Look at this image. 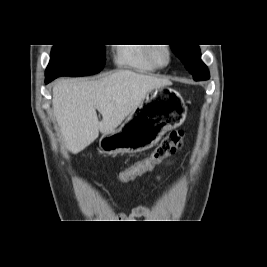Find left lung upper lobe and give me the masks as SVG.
<instances>
[{
  "label": "left lung upper lobe",
  "mask_w": 267,
  "mask_h": 267,
  "mask_svg": "<svg viewBox=\"0 0 267 267\" xmlns=\"http://www.w3.org/2000/svg\"><path fill=\"white\" fill-rule=\"evenodd\" d=\"M171 48L192 74L195 81L208 80L210 78L208 68L201 60V52L198 45H171Z\"/></svg>",
  "instance_id": "left-lung-upper-lobe-1"
}]
</instances>
